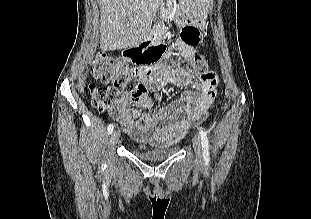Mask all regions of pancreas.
<instances>
[{"label": "pancreas", "instance_id": "pancreas-1", "mask_svg": "<svg viewBox=\"0 0 311 219\" xmlns=\"http://www.w3.org/2000/svg\"><path fill=\"white\" fill-rule=\"evenodd\" d=\"M179 6L175 4L174 0L167 1V7L165 9L160 10V14L163 15L164 19H172L174 15L178 12ZM161 29L163 31L166 30V27L164 25L161 26Z\"/></svg>", "mask_w": 311, "mask_h": 219}]
</instances>
